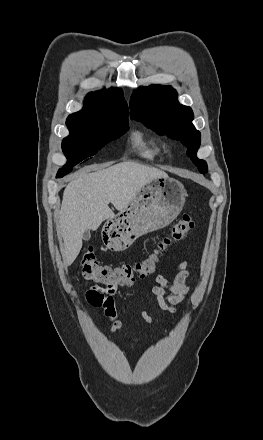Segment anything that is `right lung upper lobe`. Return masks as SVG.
I'll list each match as a JSON object with an SVG mask.
<instances>
[{
    "mask_svg": "<svg viewBox=\"0 0 263 440\" xmlns=\"http://www.w3.org/2000/svg\"><path fill=\"white\" fill-rule=\"evenodd\" d=\"M105 116H127L128 106L123 92L118 88H110L87 94L84 108L71 114L66 121L67 126L78 127L88 121Z\"/></svg>",
    "mask_w": 263,
    "mask_h": 440,
    "instance_id": "cb5924a9",
    "label": "right lung upper lobe"
}]
</instances>
